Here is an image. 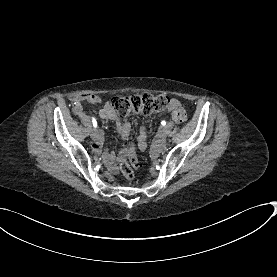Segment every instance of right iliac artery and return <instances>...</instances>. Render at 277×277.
<instances>
[{
  "label": "right iliac artery",
  "mask_w": 277,
  "mask_h": 277,
  "mask_svg": "<svg viewBox=\"0 0 277 277\" xmlns=\"http://www.w3.org/2000/svg\"><path fill=\"white\" fill-rule=\"evenodd\" d=\"M92 122H93V126L96 128L97 127V122H96L95 118H92Z\"/></svg>",
  "instance_id": "82829eb1"
}]
</instances>
